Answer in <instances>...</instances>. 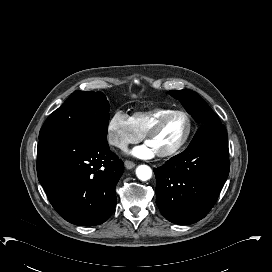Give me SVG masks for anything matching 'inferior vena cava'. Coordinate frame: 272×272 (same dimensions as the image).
<instances>
[{
  "instance_id": "1",
  "label": "inferior vena cava",
  "mask_w": 272,
  "mask_h": 272,
  "mask_svg": "<svg viewBox=\"0 0 272 272\" xmlns=\"http://www.w3.org/2000/svg\"><path fill=\"white\" fill-rule=\"evenodd\" d=\"M109 143L114 146L123 147L125 144L121 142L117 137H112L109 139Z\"/></svg>"
}]
</instances>
